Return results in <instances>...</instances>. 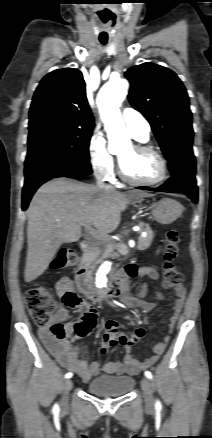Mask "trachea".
<instances>
[{"label":"trachea","mask_w":212,"mask_h":438,"mask_svg":"<svg viewBox=\"0 0 212 438\" xmlns=\"http://www.w3.org/2000/svg\"><path fill=\"white\" fill-rule=\"evenodd\" d=\"M102 44L104 45V44H106L105 42H102Z\"/></svg>","instance_id":"3493384b"}]
</instances>
